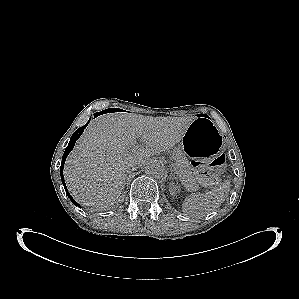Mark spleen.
I'll use <instances>...</instances> for the list:
<instances>
[{
    "label": "spleen",
    "instance_id": "3e777b00",
    "mask_svg": "<svg viewBox=\"0 0 299 299\" xmlns=\"http://www.w3.org/2000/svg\"><path fill=\"white\" fill-rule=\"evenodd\" d=\"M230 191V181L205 193H192L182 203V212L189 217L202 218L217 209Z\"/></svg>",
    "mask_w": 299,
    "mask_h": 299
}]
</instances>
